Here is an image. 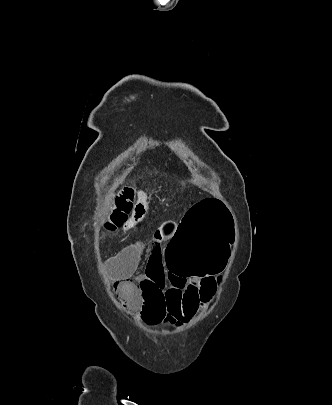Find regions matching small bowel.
Wrapping results in <instances>:
<instances>
[{"label": "small bowel", "mask_w": 332, "mask_h": 405, "mask_svg": "<svg viewBox=\"0 0 332 405\" xmlns=\"http://www.w3.org/2000/svg\"><path fill=\"white\" fill-rule=\"evenodd\" d=\"M137 208L131 209L135 223L147 216L148 200L140 192ZM175 222L159 227L151 236L152 251L143 274H138L137 289L142 311L140 326H163V323L180 326L188 322L206 304L215 291L214 275H171L165 269L161 244L173 240ZM145 243L136 242L108 257L105 265L119 281L129 279L138 266Z\"/></svg>", "instance_id": "small-bowel-1"}]
</instances>
